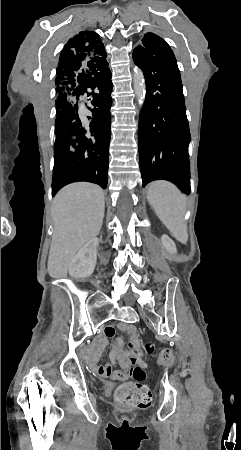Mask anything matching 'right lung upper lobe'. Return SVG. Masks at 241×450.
<instances>
[{
    "mask_svg": "<svg viewBox=\"0 0 241 450\" xmlns=\"http://www.w3.org/2000/svg\"><path fill=\"white\" fill-rule=\"evenodd\" d=\"M107 54L99 35L93 31H81L69 39L61 51L57 77L55 79L57 98L61 97L64 89L60 88L62 81L68 76L95 68L104 64Z\"/></svg>",
    "mask_w": 241,
    "mask_h": 450,
    "instance_id": "cb5924a9",
    "label": "right lung upper lobe"
}]
</instances>
